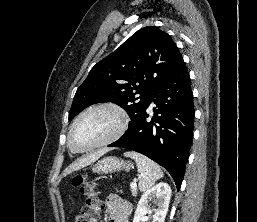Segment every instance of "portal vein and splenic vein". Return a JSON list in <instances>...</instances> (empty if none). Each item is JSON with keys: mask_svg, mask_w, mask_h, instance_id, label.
<instances>
[{"mask_svg": "<svg viewBox=\"0 0 257 222\" xmlns=\"http://www.w3.org/2000/svg\"><path fill=\"white\" fill-rule=\"evenodd\" d=\"M130 187H131V188H136V187H137L136 182H135V181H134V182H132V183L130 184Z\"/></svg>", "mask_w": 257, "mask_h": 222, "instance_id": "1", "label": "portal vein and splenic vein"}]
</instances>
